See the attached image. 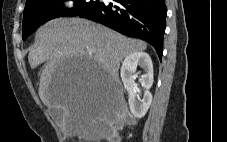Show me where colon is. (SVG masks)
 <instances>
[{
    "label": "colon",
    "mask_w": 227,
    "mask_h": 142,
    "mask_svg": "<svg viewBox=\"0 0 227 142\" xmlns=\"http://www.w3.org/2000/svg\"><path fill=\"white\" fill-rule=\"evenodd\" d=\"M132 122L131 117L123 109L107 117L105 134L110 142H117V131L124 125Z\"/></svg>",
    "instance_id": "obj_1"
}]
</instances>
